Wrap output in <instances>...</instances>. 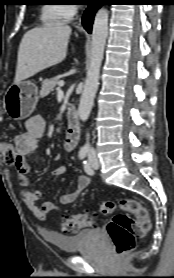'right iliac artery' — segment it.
<instances>
[{
    "label": "right iliac artery",
    "instance_id": "obj_1",
    "mask_svg": "<svg viewBox=\"0 0 174 278\" xmlns=\"http://www.w3.org/2000/svg\"><path fill=\"white\" fill-rule=\"evenodd\" d=\"M87 152H88L87 149L82 148V149L79 151V158H80V159H84V158L86 157V155H87Z\"/></svg>",
    "mask_w": 174,
    "mask_h": 278
}]
</instances>
